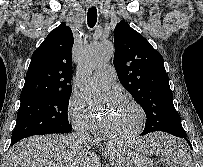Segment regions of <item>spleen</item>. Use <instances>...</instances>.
Segmentation results:
<instances>
[{"label": "spleen", "instance_id": "obj_1", "mask_svg": "<svg viewBox=\"0 0 203 167\" xmlns=\"http://www.w3.org/2000/svg\"><path fill=\"white\" fill-rule=\"evenodd\" d=\"M146 151L170 159L182 167H192L193 162L180 140L164 134H154L147 140Z\"/></svg>", "mask_w": 203, "mask_h": 167}]
</instances>
